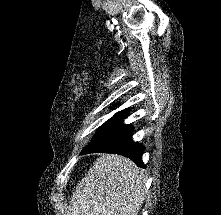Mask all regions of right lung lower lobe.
Segmentation results:
<instances>
[{
    "label": "right lung lower lobe",
    "instance_id": "98d812e1",
    "mask_svg": "<svg viewBox=\"0 0 221 215\" xmlns=\"http://www.w3.org/2000/svg\"><path fill=\"white\" fill-rule=\"evenodd\" d=\"M132 131V126L124 125L120 121L85 147L82 154L117 153L130 158L138 166L145 168L142 162L143 146L132 140Z\"/></svg>",
    "mask_w": 221,
    "mask_h": 215
}]
</instances>
